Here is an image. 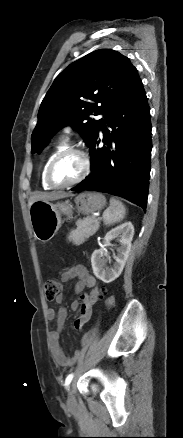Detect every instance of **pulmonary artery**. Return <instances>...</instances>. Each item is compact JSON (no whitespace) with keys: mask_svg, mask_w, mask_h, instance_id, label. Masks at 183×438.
Returning <instances> with one entry per match:
<instances>
[{"mask_svg":"<svg viewBox=\"0 0 183 438\" xmlns=\"http://www.w3.org/2000/svg\"><path fill=\"white\" fill-rule=\"evenodd\" d=\"M66 131L68 132V131H69V128H66Z\"/></svg>","mask_w":183,"mask_h":438,"instance_id":"obj_1","label":"pulmonary artery"}]
</instances>
